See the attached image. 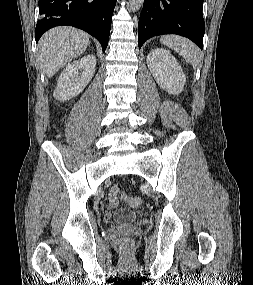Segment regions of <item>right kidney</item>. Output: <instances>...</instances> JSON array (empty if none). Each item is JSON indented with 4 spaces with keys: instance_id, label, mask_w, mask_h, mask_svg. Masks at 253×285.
Segmentation results:
<instances>
[{
    "instance_id": "1",
    "label": "right kidney",
    "mask_w": 253,
    "mask_h": 285,
    "mask_svg": "<svg viewBox=\"0 0 253 285\" xmlns=\"http://www.w3.org/2000/svg\"><path fill=\"white\" fill-rule=\"evenodd\" d=\"M95 66L96 57L93 54L68 64L58 78L54 98L62 102L77 96L92 79Z\"/></svg>"
}]
</instances>
